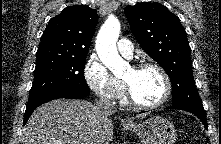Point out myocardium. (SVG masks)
I'll list each match as a JSON object with an SVG mask.
<instances>
[{
    "label": "myocardium",
    "mask_w": 221,
    "mask_h": 144,
    "mask_svg": "<svg viewBox=\"0 0 221 144\" xmlns=\"http://www.w3.org/2000/svg\"><path fill=\"white\" fill-rule=\"evenodd\" d=\"M132 68L135 71H140L145 68L156 69L160 73V75L162 76V79L164 82V93H163L162 98L155 103H152V104L141 103L135 98L129 83L124 80L127 101L132 106L139 108V109H156V108H159L162 105H164L168 101L170 94H171V90H172L171 80L169 78V75L165 71V69L161 65H159L158 63L152 62V61L140 62V63L134 65Z\"/></svg>",
    "instance_id": "myocardium-1"
}]
</instances>
